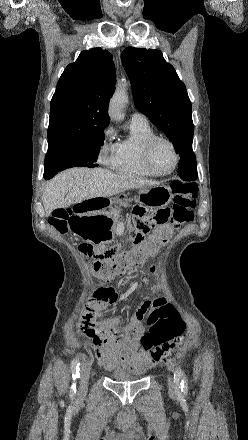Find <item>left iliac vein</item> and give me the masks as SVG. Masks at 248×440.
<instances>
[{"mask_svg": "<svg viewBox=\"0 0 248 440\" xmlns=\"http://www.w3.org/2000/svg\"><path fill=\"white\" fill-rule=\"evenodd\" d=\"M168 389L171 394H175L177 385L173 382L171 377H168Z\"/></svg>", "mask_w": 248, "mask_h": 440, "instance_id": "4c4485c4", "label": "left iliac vein"}]
</instances>
